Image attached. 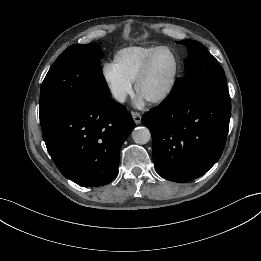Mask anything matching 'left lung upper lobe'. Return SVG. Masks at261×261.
I'll list each match as a JSON object with an SVG mask.
<instances>
[{
    "mask_svg": "<svg viewBox=\"0 0 261 261\" xmlns=\"http://www.w3.org/2000/svg\"><path fill=\"white\" fill-rule=\"evenodd\" d=\"M177 43L187 46L189 56L184 61L186 73L175 82L171 97L184 101L204 87L226 83L224 70L201 43L194 40Z\"/></svg>",
    "mask_w": 261,
    "mask_h": 261,
    "instance_id": "obj_1",
    "label": "left lung upper lobe"
}]
</instances>
